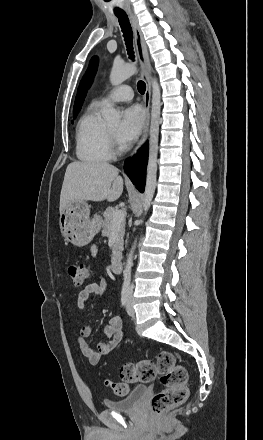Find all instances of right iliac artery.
Masks as SVG:
<instances>
[{"instance_id": "right-iliac-artery-1", "label": "right iliac artery", "mask_w": 263, "mask_h": 440, "mask_svg": "<svg viewBox=\"0 0 263 440\" xmlns=\"http://www.w3.org/2000/svg\"><path fill=\"white\" fill-rule=\"evenodd\" d=\"M128 296L129 290L127 288H123L121 292V304L123 307H126L128 304Z\"/></svg>"}]
</instances>
